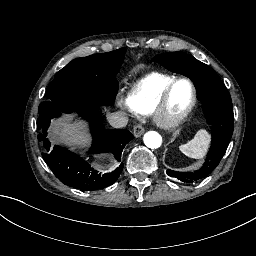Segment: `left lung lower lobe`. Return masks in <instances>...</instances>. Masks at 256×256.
I'll use <instances>...</instances> for the list:
<instances>
[{
  "label": "left lung lower lobe",
  "instance_id": "left-lung-lower-lobe-1",
  "mask_svg": "<svg viewBox=\"0 0 256 256\" xmlns=\"http://www.w3.org/2000/svg\"><path fill=\"white\" fill-rule=\"evenodd\" d=\"M167 174L171 177H176L177 179L186 182V183H193L197 182L199 180H202L205 177L199 176V175H188L184 172H176L172 170H167Z\"/></svg>",
  "mask_w": 256,
  "mask_h": 256
}]
</instances>
